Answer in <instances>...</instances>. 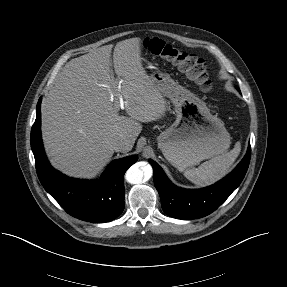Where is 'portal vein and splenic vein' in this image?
<instances>
[{"instance_id": "18ae733b", "label": "portal vein and splenic vein", "mask_w": 287, "mask_h": 287, "mask_svg": "<svg viewBox=\"0 0 287 287\" xmlns=\"http://www.w3.org/2000/svg\"><path fill=\"white\" fill-rule=\"evenodd\" d=\"M118 106L121 107V108L124 107V100H123V97H122V95L120 93L118 94Z\"/></svg>"}]
</instances>
